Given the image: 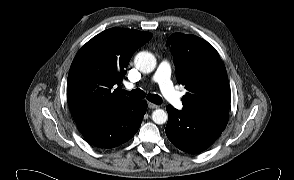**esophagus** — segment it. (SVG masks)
Returning a JSON list of instances; mask_svg holds the SVG:
<instances>
[{
  "instance_id": "1",
  "label": "esophagus",
  "mask_w": 294,
  "mask_h": 180,
  "mask_svg": "<svg viewBox=\"0 0 294 180\" xmlns=\"http://www.w3.org/2000/svg\"><path fill=\"white\" fill-rule=\"evenodd\" d=\"M148 107H149L150 109H157V108H159V105H156V104H154V103L149 102V103H148Z\"/></svg>"
}]
</instances>
